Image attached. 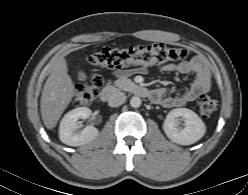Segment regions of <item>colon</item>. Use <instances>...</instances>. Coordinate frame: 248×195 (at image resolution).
<instances>
[{
	"label": "colon",
	"instance_id": "5ec220e1",
	"mask_svg": "<svg viewBox=\"0 0 248 195\" xmlns=\"http://www.w3.org/2000/svg\"><path fill=\"white\" fill-rule=\"evenodd\" d=\"M190 54L186 48L172 47L163 43L127 48H103L90 55L87 64L93 69H122L131 66H154L185 59ZM102 78L94 74L79 85L74 92V102L78 106H87L96 98ZM216 99L203 95L199 98V113L209 118L217 109Z\"/></svg>",
	"mask_w": 248,
	"mask_h": 195
}]
</instances>
